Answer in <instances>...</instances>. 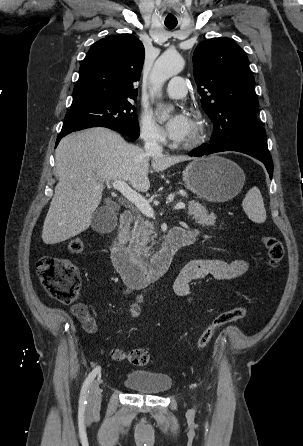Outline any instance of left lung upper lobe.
Wrapping results in <instances>:
<instances>
[{"mask_svg":"<svg viewBox=\"0 0 303 446\" xmlns=\"http://www.w3.org/2000/svg\"><path fill=\"white\" fill-rule=\"evenodd\" d=\"M193 69L203 109L214 124L211 146L269 152L256 116L254 77L240 46L227 38L203 41L194 51Z\"/></svg>","mask_w":303,"mask_h":446,"instance_id":"1","label":"left lung upper lobe"}]
</instances>
